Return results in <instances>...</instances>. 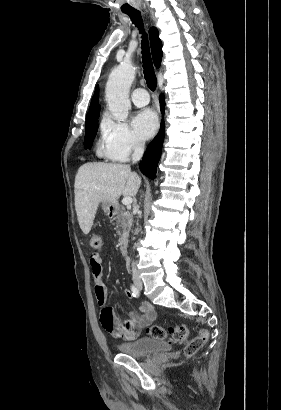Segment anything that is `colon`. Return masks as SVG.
<instances>
[{
    "label": "colon",
    "mask_w": 281,
    "mask_h": 410,
    "mask_svg": "<svg viewBox=\"0 0 281 410\" xmlns=\"http://www.w3.org/2000/svg\"><path fill=\"white\" fill-rule=\"evenodd\" d=\"M90 245L93 249H100L102 247V238L98 234L92 235ZM111 311L103 312L102 325L103 327L111 326ZM148 334L159 340L169 339L178 344H185L184 353L187 357L194 356L207 342L208 332L204 329L198 331L197 335L188 340L189 332L185 325H176L167 331L165 328L153 325L148 329Z\"/></svg>",
    "instance_id": "5ec220e1"
}]
</instances>
